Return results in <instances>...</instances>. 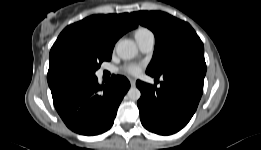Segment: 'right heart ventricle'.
<instances>
[{
    "mask_svg": "<svg viewBox=\"0 0 261 150\" xmlns=\"http://www.w3.org/2000/svg\"><path fill=\"white\" fill-rule=\"evenodd\" d=\"M146 31H148V29L143 28V27L138 28V29L135 31V37L138 36V35H140V34H142V33H144V32H146Z\"/></svg>",
    "mask_w": 261,
    "mask_h": 150,
    "instance_id": "obj_1",
    "label": "right heart ventricle"
}]
</instances>
